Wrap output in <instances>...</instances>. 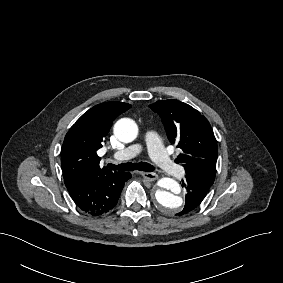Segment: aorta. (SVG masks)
<instances>
[{
	"instance_id": "762f6f07",
	"label": "aorta",
	"mask_w": 283,
	"mask_h": 283,
	"mask_svg": "<svg viewBox=\"0 0 283 283\" xmlns=\"http://www.w3.org/2000/svg\"><path fill=\"white\" fill-rule=\"evenodd\" d=\"M114 135L120 141L130 143L138 135V126L132 119L122 118L114 125ZM158 186L155 198L162 210L169 214L180 211L183 205L180 185L174 179L164 177L158 181Z\"/></svg>"
}]
</instances>
